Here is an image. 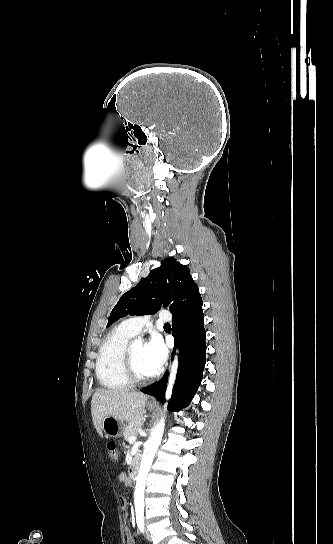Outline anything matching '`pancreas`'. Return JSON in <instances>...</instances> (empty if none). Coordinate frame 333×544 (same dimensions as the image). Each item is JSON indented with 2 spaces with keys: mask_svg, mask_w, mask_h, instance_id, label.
<instances>
[{
  "mask_svg": "<svg viewBox=\"0 0 333 544\" xmlns=\"http://www.w3.org/2000/svg\"><path fill=\"white\" fill-rule=\"evenodd\" d=\"M143 419L139 418L134 422L129 423V425L124 430L123 436L125 440H128L131 436H136L138 433V429L140 425L142 424Z\"/></svg>",
  "mask_w": 333,
  "mask_h": 544,
  "instance_id": "1",
  "label": "pancreas"
}]
</instances>
